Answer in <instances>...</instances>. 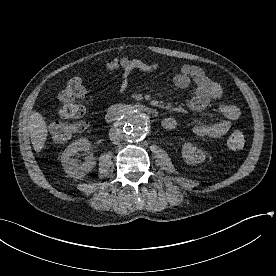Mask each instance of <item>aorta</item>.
Returning <instances> with one entry per match:
<instances>
[{
	"instance_id": "obj_1",
	"label": "aorta",
	"mask_w": 276,
	"mask_h": 276,
	"mask_svg": "<svg viewBox=\"0 0 276 276\" xmlns=\"http://www.w3.org/2000/svg\"><path fill=\"white\" fill-rule=\"evenodd\" d=\"M119 129L128 141H140L147 132V119L143 112L131 108L126 110L119 121Z\"/></svg>"
}]
</instances>
